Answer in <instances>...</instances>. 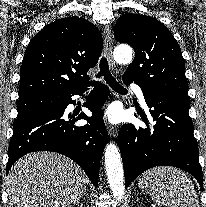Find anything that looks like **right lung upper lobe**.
Masks as SVG:
<instances>
[{"label":"right lung upper lobe","mask_w":206,"mask_h":207,"mask_svg":"<svg viewBox=\"0 0 206 207\" xmlns=\"http://www.w3.org/2000/svg\"><path fill=\"white\" fill-rule=\"evenodd\" d=\"M103 39L84 18H62L30 41L20 69L19 97L62 95L89 84L87 72L98 61Z\"/></svg>","instance_id":"1"}]
</instances>
